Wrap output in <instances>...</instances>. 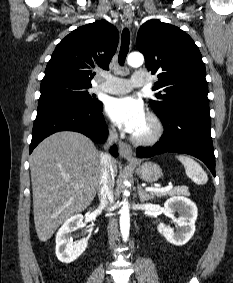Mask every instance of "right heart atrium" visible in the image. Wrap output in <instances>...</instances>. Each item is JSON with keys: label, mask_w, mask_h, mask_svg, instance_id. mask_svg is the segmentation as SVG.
<instances>
[{"label": "right heart atrium", "mask_w": 233, "mask_h": 283, "mask_svg": "<svg viewBox=\"0 0 233 283\" xmlns=\"http://www.w3.org/2000/svg\"><path fill=\"white\" fill-rule=\"evenodd\" d=\"M108 132H109L110 135H114L115 134V130H114V128L112 126L108 127Z\"/></svg>", "instance_id": "d8ad5b80"}]
</instances>
